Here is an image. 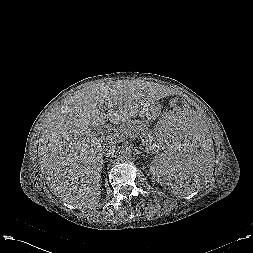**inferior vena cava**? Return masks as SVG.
<instances>
[{
  "label": "inferior vena cava",
  "mask_w": 253,
  "mask_h": 253,
  "mask_svg": "<svg viewBox=\"0 0 253 253\" xmlns=\"http://www.w3.org/2000/svg\"><path fill=\"white\" fill-rule=\"evenodd\" d=\"M116 150H117L116 144L113 142L106 144L102 149L103 154L106 157L113 155L116 152Z\"/></svg>",
  "instance_id": "1"
}]
</instances>
